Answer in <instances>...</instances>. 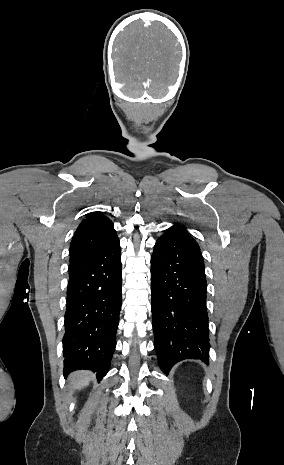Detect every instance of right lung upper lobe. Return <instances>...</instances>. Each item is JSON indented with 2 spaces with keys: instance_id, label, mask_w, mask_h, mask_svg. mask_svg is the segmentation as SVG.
<instances>
[{
  "instance_id": "right-lung-upper-lobe-1",
  "label": "right lung upper lobe",
  "mask_w": 284,
  "mask_h": 465,
  "mask_svg": "<svg viewBox=\"0 0 284 465\" xmlns=\"http://www.w3.org/2000/svg\"><path fill=\"white\" fill-rule=\"evenodd\" d=\"M116 237L112 221L101 212L87 215L78 226L70 244V263L99 251Z\"/></svg>"
}]
</instances>
